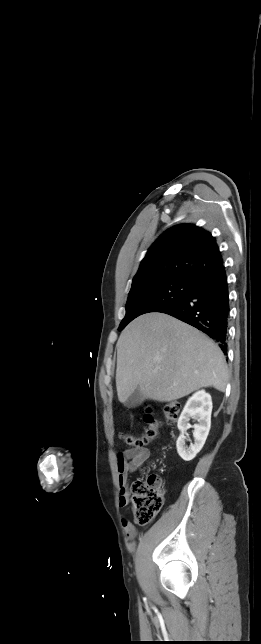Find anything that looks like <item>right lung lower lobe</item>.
<instances>
[{
  "mask_svg": "<svg viewBox=\"0 0 261 644\" xmlns=\"http://www.w3.org/2000/svg\"><path fill=\"white\" fill-rule=\"evenodd\" d=\"M188 323L219 342L227 351L229 290L223 264L192 280L188 294L176 305L160 311Z\"/></svg>",
  "mask_w": 261,
  "mask_h": 644,
  "instance_id": "obj_1",
  "label": "right lung lower lobe"
}]
</instances>
